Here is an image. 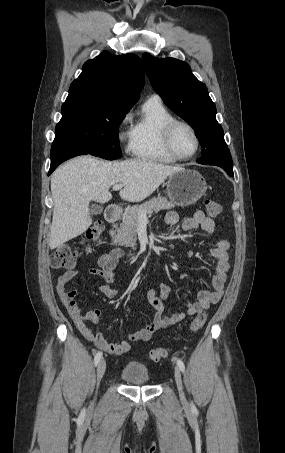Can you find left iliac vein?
<instances>
[{
    "label": "left iliac vein",
    "mask_w": 285,
    "mask_h": 453,
    "mask_svg": "<svg viewBox=\"0 0 285 453\" xmlns=\"http://www.w3.org/2000/svg\"><path fill=\"white\" fill-rule=\"evenodd\" d=\"M174 377H175V382H176V385L178 388L180 399L183 403H186V398H185V394L183 391L181 372L178 367L175 368Z\"/></svg>",
    "instance_id": "1"
}]
</instances>
